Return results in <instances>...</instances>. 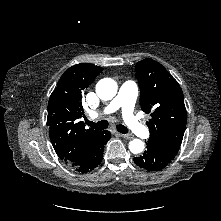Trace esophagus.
I'll use <instances>...</instances> for the list:
<instances>
[{"label":"esophagus","mask_w":221,"mask_h":221,"mask_svg":"<svg viewBox=\"0 0 221 221\" xmlns=\"http://www.w3.org/2000/svg\"><path fill=\"white\" fill-rule=\"evenodd\" d=\"M119 136L125 138V139H131L132 138V135L130 134H122V133H117Z\"/></svg>","instance_id":"1"}]
</instances>
